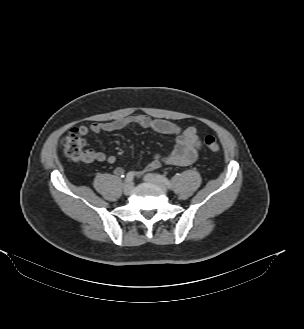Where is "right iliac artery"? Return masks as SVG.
<instances>
[{
  "label": "right iliac artery",
  "mask_w": 304,
  "mask_h": 329,
  "mask_svg": "<svg viewBox=\"0 0 304 329\" xmlns=\"http://www.w3.org/2000/svg\"><path fill=\"white\" fill-rule=\"evenodd\" d=\"M134 178V173L133 172H129L127 175H126V178H125V182L126 183H129L133 180Z\"/></svg>",
  "instance_id": "1"
}]
</instances>
